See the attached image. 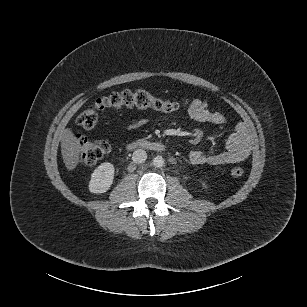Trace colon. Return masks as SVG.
Here are the masks:
<instances>
[{"instance_id":"5ec220e1","label":"colon","mask_w":307,"mask_h":307,"mask_svg":"<svg viewBox=\"0 0 307 307\" xmlns=\"http://www.w3.org/2000/svg\"><path fill=\"white\" fill-rule=\"evenodd\" d=\"M189 104L191 102L187 99L181 101L159 99L143 89L123 90L97 99L78 116L77 123L85 129H91L97 124L99 113L108 109L136 107L143 110L172 112ZM77 143L80 162L85 166L96 164L110 150V144L105 140L79 136ZM230 173L233 177H241L244 174V169L240 166H234Z\"/></svg>"}]
</instances>
